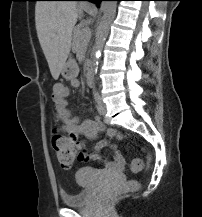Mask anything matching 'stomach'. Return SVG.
I'll list each match as a JSON object with an SVG mask.
<instances>
[{
	"instance_id": "0dacf381",
	"label": "stomach",
	"mask_w": 202,
	"mask_h": 217,
	"mask_svg": "<svg viewBox=\"0 0 202 217\" xmlns=\"http://www.w3.org/2000/svg\"><path fill=\"white\" fill-rule=\"evenodd\" d=\"M79 68L74 60H69L65 63L61 74L65 79H72L78 75Z\"/></svg>"
}]
</instances>
